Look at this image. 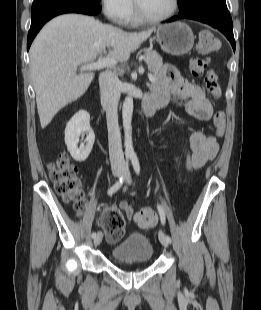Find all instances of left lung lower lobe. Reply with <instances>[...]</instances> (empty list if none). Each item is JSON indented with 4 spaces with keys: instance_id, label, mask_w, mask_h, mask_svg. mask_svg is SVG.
Returning a JSON list of instances; mask_svg holds the SVG:
<instances>
[{
    "instance_id": "0a47b994",
    "label": "left lung lower lobe",
    "mask_w": 261,
    "mask_h": 310,
    "mask_svg": "<svg viewBox=\"0 0 261 310\" xmlns=\"http://www.w3.org/2000/svg\"><path fill=\"white\" fill-rule=\"evenodd\" d=\"M181 18L193 19L217 28L227 37L235 51L232 18L226 0H209L198 10L187 15L174 16L167 22H173Z\"/></svg>"
}]
</instances>
